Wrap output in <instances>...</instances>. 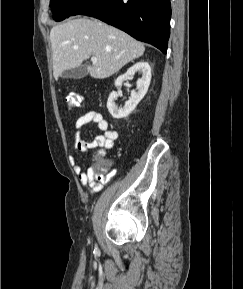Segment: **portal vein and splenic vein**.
<instances>
[{
	"label": "portal vein and splenic vein",
	"instance_id": "portal-vein-and-splenic-vein-1",
	"mask_svg": "<svg viewBox=\"0 0 243 289\" xmlns=\"http://www.w3.org/2000/svg\"><path fill=\"white\" fill-rule=\"evenodd\" d=\"M91 61H92L93 63H96V62L98 61V58L95 57V56H92V57H91Z\"/></svg>",
	"mask_w": 243,
	"mask_h": 289
}]
</instances>
